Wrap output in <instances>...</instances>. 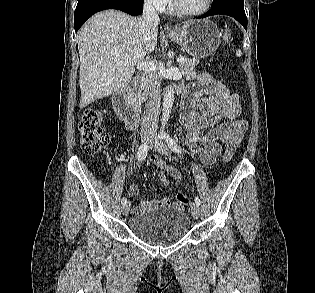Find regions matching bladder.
Instances as JSON below:
<instances>
[{
    "mask_svg": "<svg viewBox=\"0 0 315 293\" xmlns=\"http://www.w3.org/2000/svg\"><path fill=\"white\" fill-rule=\"evenodd\" d=\"M190 225V218L177 206L148 209L129 220V229L135 236L159 246L181 240L189 232Z\"/></svg>",
    "mask_w": 315,
    "mask_h": 293,
    "instance_id": "bladder-1",
    "label": "bladder"
}]
</instances>
